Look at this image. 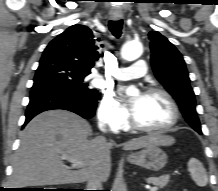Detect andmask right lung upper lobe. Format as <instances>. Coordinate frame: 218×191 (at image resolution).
Wrapping results in <instances>:
<instances>
[{"label": "right lung upper lobe", "mask_w": 218, "mask_h": 191, "mask_svg": "<svg viewBox=\"0 0 218 191\" xmlns=\"http://www.w3.org/2000/svg\"><path fill=\"white\" fill-rule=\"evenodd\" d=\"M98 49L93 32L86 26L76 24L53 39L42 57L56 58L80 72L90 74L100 56Z\"/></svg>", "instance_id": "1"}]
</instances>
